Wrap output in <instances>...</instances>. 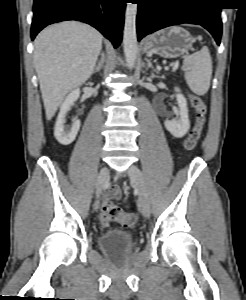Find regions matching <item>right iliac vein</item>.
Segmentation results:
<instances>
[{"instance_id": "1", "label": "right iliac vein", "mask_w": 246, "mask_h": 300, "mask_svg": "<svg viewBox=\"0 0 246 300\" xmlns=\"http://www.w3.org/2000/svg\"><path fill=\"white\" fill-rule=\"evenodd\" d=\"M109 171L107 167H103L97 177L96 180V196L97 198L100 197L102 190L104 188V185L108 179ZM98 203L96 204L97 207Z\"/></svg>"}]
</instances>
